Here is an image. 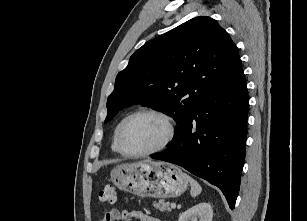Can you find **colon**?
Listing matches in <instances>:
<instances>
[{"label": "colon", "instance_id": "1", "mask_svg": "<svg viewBox=\"0 0 307 221\" xmlns=\"http://www.w3.org/2000/svg\"><path fill=\"white\" fill-rule=\"evenodd\" d=\"M98 197L101 202L115 204L117 202L118 193L115 187L106 186L99 192Z\"/></svg>", "mask_w": 307, "mask_h": 221}]
</instances>
